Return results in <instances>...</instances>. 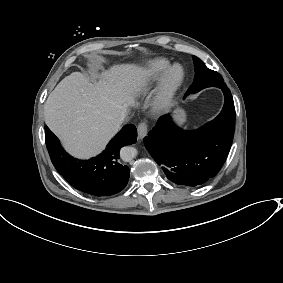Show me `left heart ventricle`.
Returning <instances> with one entry per match:
<instances>
[{
    "label": "left heart ventricle",
    "mask_w": 283,
    "mask_h": 283,
    "mask_svg": "<svg viewBox=\"0 0 283 283\" xmlns=\"http://www.w3.org/2000/svg\"><path fill=\"white\" fill-rule=\"evenodd\" d=\"M178 75H179V69L174 70L170 76V81H173Z\"/></svg>",
    "instance_id": "1"
}]
</instances>
